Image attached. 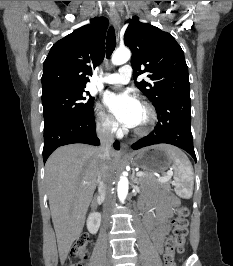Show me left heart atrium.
Segmentation results:
<instances>
[{
    "label": "left heart atrium",
    "mask_w": 233,
    "mask_h": 266,
    "mask_svg": "<svg viewBox=\"0 0 233 266\" xmlns=\"http://www.w3.org/2000/svg\"><path fill=\"white\" fill-rule=\"evenodd\" d=\"M105 102L116 119L127 127H135L138 121L140 102L129 92H108Z\"/></svg>",
    "instance_id": "39dd6f15"
}]
</instances>
